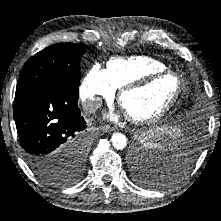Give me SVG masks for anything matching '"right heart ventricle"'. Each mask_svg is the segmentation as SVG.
Wrapping results in <instances>:
<instances>
[{"instance_id":"obj_1","label":"right heart ventricle","mask_w":221,"mask_h":221,"mask_svg":"<svg viewBox=\"0 0 221 221\" xmlns=\"http://www.w3.org/2000/svg\"><path fill=\"white\" fill-rule=\"evenodd\" d=\"M166 69L167 66L163 62L153 57L135 55L111 58L107 62L105 72L115 88H121L148 73Z\"/></svg>"}]
</instances>
